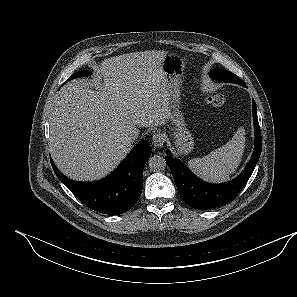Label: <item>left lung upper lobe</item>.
<instances>
[{
	"instance_id": "5c2ea615",
	"label": "left lung upper lobe",
	"mask_w": 297,
	"mask_h": 297,
	"mask_svg": "<svg viewBox=\"0 0 297 297\" xmlns=\"http://www.w3.org/2000/svg\"><path fill=\"white\" fill-rule=\"evenodd\" d=\"M210 77L214 80L236 83L246 87V84L235 74L222 69H215L210 73Z\"/></svg>"
}]
</instances>
